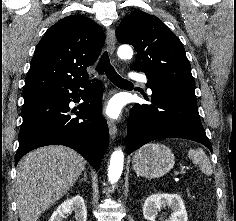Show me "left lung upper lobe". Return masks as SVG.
I'll return each instance as SVG.
<instances>
[{"instance_id":"left-lung-upper-lobe-1","label":"left lung upper lobe","mask_w":236,"mask_h":221,"mask_svg":"<svg viewBox=\"0 0 236 221\" xmlns=\"http://www.w3.org/2000/svg\"><path fill=\"white\" fill-rule=\"evenodd\" d=\"M117 39L137 51L132 70L168 85L195 89L191 65L179 38L157 17L142 11L126 16L116 29Z\"/></svg>"}]
</instances>
